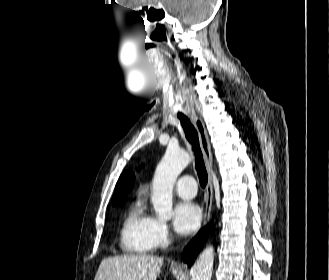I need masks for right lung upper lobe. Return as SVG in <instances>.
<instances>
[{
    "label": "right lung upper lobe",
    "instance_id": "1",
    "mask_svg": "<svg viewBox=\"0 0 329 280\" xmlns=\"http://www.w3.org/2000/svg\"><path fill=\"white\" fill-rule=\"evenodd\" d=\"M134 180L135 176L132 172L125 171L122 173L115 187L116 195H114L112 199L113 205H116L120 200L126 197L127 192L133 187Z\"/></svg>",
    "mask_w": 329,
    "mask_h": 280
}]
</instances>
